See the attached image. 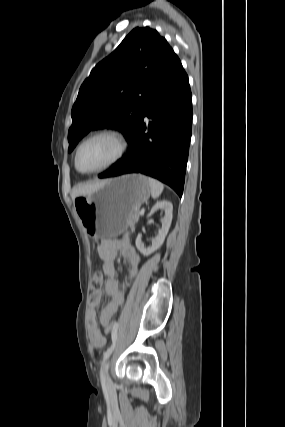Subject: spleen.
Listing matches in <instances>:
<instances>
[{
    "label": "spleen",
    "instance_id": "3e777b00",
    "mask_svg": "<svg viewBox=\"0 0 285 427\" xmlns=\"http://www.w3.org/2000/svg\"><path fill=\"white\" fill-rule=\"evenodd\" d=\"M150 187H151V196L152 198H158L163 192L164 186L161 182L156 179L148 178Z\"/></svg>",
    "mask_w": 285,
    "mask_h": 427
}]
</instances>
